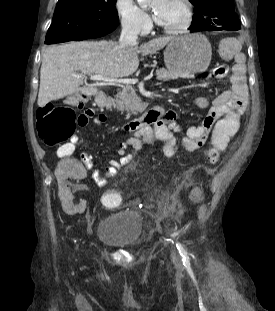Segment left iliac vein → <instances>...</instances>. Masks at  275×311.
I'll use <instances>...</instances> for the list:
<instances>
[{"instance_id": "obj_1", "label": "left iliac vein", "mask_w": 275, "mask_h": 311, "mask_svg": "<svg viewBox=\"0 0 275 311\" xmlns=\"http://www.w3.org/2000/svg\"><path fill=\"white\" fill-rule=\"evenodd\" d=\"M171 257H172V260L173 262L176 264V265H181L176 253L174 250L171 251Z\"/></svg>"}]
</instances>
